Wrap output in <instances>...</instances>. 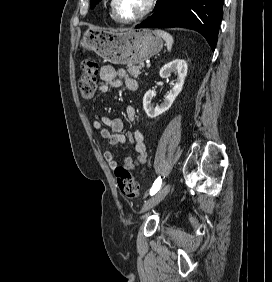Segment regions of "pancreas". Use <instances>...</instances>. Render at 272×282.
<instances>
[{
  "instance_id": "pancreas-1",
  "label": "pancreas",
  "mask_w": 272,
  "mask_h": 282,
  "mask_svg": "<svg viewBox=\"0 0 272 282\" xmlns=\"http://www.w3.org/2000/svg\"><path fill=\"white\" fill-rule=\"evenodd\" d=\"M127 71L131 76L137 78L143 72L142 65H128Z\"/></svg>"
}]
</instances>
